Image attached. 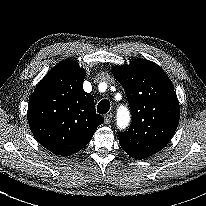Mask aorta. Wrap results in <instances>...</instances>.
I'll return each instance as SVG.
<instances>
[{
    "label": "aorta",
    "mask_w": 206,
    "mask_h": 206,
    "mask_svg": "<svg viewBox=\"0 0 206 206\" xmlns=\"http://www.w3.org/2000/svg\"><path fill=\"white\" fill-rule=\"evenodd\" d=\"M129 122V114L126 109H121L118 113V125L125 127Z\"/></svg>",
    "instance_id": "aorta-1"
}]
</instances>
